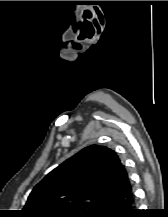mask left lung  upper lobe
Instances as JSON below:
<instances>
[{
    "mask_svg": "<svg viewBox=\"0 0 168 217\" xmlns=\"http://www.w3.org/2000/svg\"><path fill=\"white\" fill-rule=\"evenodd\" d=\"M129 182L114 151L91 145L39 182L23 210L28 217H97L106 201Z\"/></svg>",
    "mask_w": 168,
    "mask_h": 217,
    "instance_id": "5c2ea615",
    "label": "left lung upper lobe"
}]
</instances>
